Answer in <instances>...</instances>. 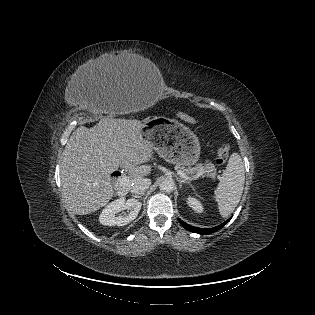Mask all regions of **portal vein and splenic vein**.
Returning <instances> with one entry per match:
<instances>
[{"label":"portal vein and splenic vein","instance_id":"portal-vein-and-splenic-vein-1","mask_svg":"<svg viewBox=\"0 0 315 315\" xmlns=\"http://www.w3.org/2000/svg\"><path fill=\"white\" fill-rule=\"evenodd\" d=\"M177 174L181 178H184L186 180H196L202 175V172H199V173H197L196 175H194L192 177L187 176L182 170H177ZM128 183H129V177L128 176H122L119 179V186L120 187H123V186L127 185Z\"/></svg>","mask_w":315,"mask_h":315}]
</instances>
